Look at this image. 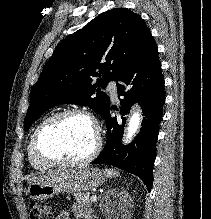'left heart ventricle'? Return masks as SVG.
Listing matches in <instances>:
<instances>
[{"instance_id":"1","label":"left heart ventricle","mask_w":211,"mask_h":219,"mask_svg":"<svg viewBox=\"0 0 211 219\" xmlns=\"http://www.w3.org/2000/svg\"><path fill=\"white\" fill-rule=\"evenodd\" d=\"M95 144V131L84 119L67 116L53 122L43 133L40 148L49 157L79 160L87 156Z\"/></svg>"}]
</instances>
